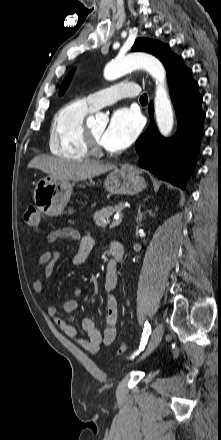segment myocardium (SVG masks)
Wrapping results in <instances>:
<instances>
[{
    "label": "myocardium",
    "instance_id": "obj_1",
    "mask_svg": "<svg viewBox=\"0 0 221 440\" xmlns=\"http://www.w3.org/2000/svg\"><path fill=\"white\" fill-rule=\"evenodd\" d=\"M83 139L89 155L102 156L105 151L99 141L92 135L88 126H83Z\"/></svg>",
    "mask_w": 221,
    "mask_h": 440
}]
</instances>
